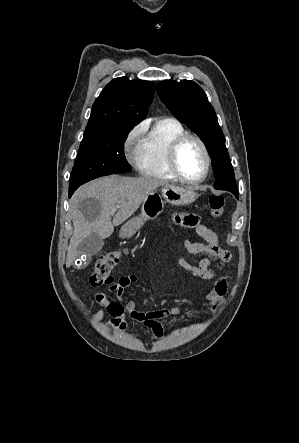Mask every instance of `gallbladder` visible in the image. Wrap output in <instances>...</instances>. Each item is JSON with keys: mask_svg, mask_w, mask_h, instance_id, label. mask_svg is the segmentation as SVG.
<instances>
[{"mask_svg": "<svg viewBox=\"0 0 299 443\" xmlns=\"http://www.w3.org/2000/svg\"><path fill=\"white\" fill-rule=\"evenodd\" d=\"M104 241L96 234H91L85 238L77 247L79 257H84L83 264L90 262L92 256L96 255L103 247Z\"/></svg>", "mask_w": 299, "mask_h": 443, "instance_id": "bac80fb5", "label": "gallbladder"}]
</instances>
